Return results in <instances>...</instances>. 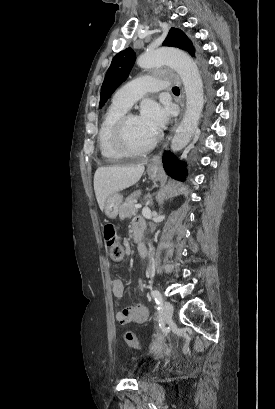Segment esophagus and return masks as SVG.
<instances>
[{"label":"esophagus","instance_id":"obj_1","mask_svg":"<svg viewBox=\"0 0 275 409\" xmlns=\"http://www.w3.org/2000/svg\"><path fill=\"white\" fill-rule=\"evenodd\" d=\"M172 132H173V130H172L171 133L167 136L166 141L164 142L162 149L154 156V159H161L162 150L167 147V145H168V143H169V140H170L171 137H172Z\"/></svg>","mask_w":275,"mask_h":409}]
</instances>
